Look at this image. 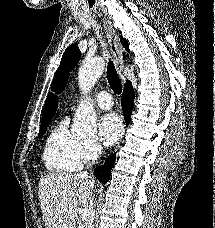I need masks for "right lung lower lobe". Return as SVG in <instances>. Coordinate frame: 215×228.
I'll return each mask as SVG.
<instances>
[{
  "instance_id": "98d812e1",
  "label": "right lung lower lobe",
  "mask_w": 215,
  "mask_h": 228,
  "mask_svg": "<svg viewBox=\"0 0 215 228\" xmlns=\"http://www.w3.org/2000/svg\"><path fill=\"white\" fill-rule=\"evenodd\" d=\"M134 98L135 94L131 82L127 80L124 85V92L121 99L126 125L130 122ZM115 158V154H111L102 166H99L94 170V175L102 183H107L109 181L111 169L115 163Z\"/></svg>"
}]
</instances>
